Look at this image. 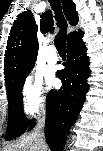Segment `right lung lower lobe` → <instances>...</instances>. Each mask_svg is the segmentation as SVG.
Instances as JSON below:
<instances>
[{"label":"right lung lower lobe","mask_w":103,"mask_h":151,"mask_svg":"<svg viewBox=\"0 0 103 151\" xmlns=\"http://www.w3.org/2000/svg\"><path fill=\"white\" fill-rule=\"evenodd\" d=\"M82 37L81 31L69 39L65 68L57 72L62 87L51 90L46 98L45 137L52 151L62 150L60 139L78 117L89 89L86 82L90 74L89 58ZM34 124L33 121L30 129Z\"/></svg>","instance_id":"98d812e1"}]
</instances>
